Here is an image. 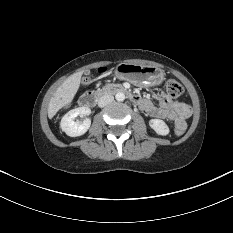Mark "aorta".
I'll return each mask as SVG.
<instances>
[{"label":"aorta","instance_id":"762f6f07","mask_svg":"<svg viewBox=\"0 0 233 233\" xmlns=\"http://www.w3.org/2000/svg\"><path fill=\"white\" fill-rule=\"evenodd\" d=\"M115 98L117 101H124L125 100V94L123 92H118L115 95Z\"/></svg>","mask_w":233,"mask_h":233}]
</instances>
